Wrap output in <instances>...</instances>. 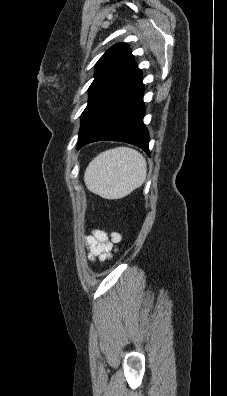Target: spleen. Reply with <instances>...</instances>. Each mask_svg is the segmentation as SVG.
<instances>
[{
	"label": "spleen",
	"instance_id": "1",
	"mask_svg": "<svg viewBox=\"0 0 227 396\" xmlns=\"http://www.w3.org/2000/svg\"><path fill=\"white\" fill-rule=\"evenodd\" d=\"M146 160L138 151L117 147L97 155L87 166V189L105 199H120L139 188L146 179Z\"/></svg>",
	"mask_w": 227,
	"mask_h": 396
}]
</instances>
